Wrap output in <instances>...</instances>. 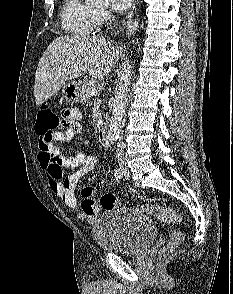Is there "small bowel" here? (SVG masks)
<instances>
[{"label": "small bowel", "instance_id": "c3829d8e", "mask_svg": "<svg viewBox=\"0 0 233 294\" xmlns=\"http://www.w3.org/2000/svg\"><path fill=\"white\" fill-rule=\"evenodd\" d=\"M63 117L65 121H60V126L65 130L56 136V140L69 142L77 133L81 132V114L77 109H68L64 111ZM45 154H51L52 156L46 157ZM97 162L96 156L88 155L81 151L72 156H62L55 145L51 149H42L39 154V163L48 179L51 190L72 210L78 207L75 190L79 179L92 171ZM62 167L71 168L75 171L63 177ZM95 192L96 188L94 186H87L82 190V210L78 213L80 218L89 221L96 218L100 211V205L93 199Z\"/></svg>", "mask_w": 233, "mask_h": 294}]
</instances>
